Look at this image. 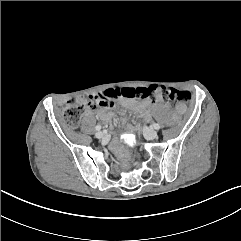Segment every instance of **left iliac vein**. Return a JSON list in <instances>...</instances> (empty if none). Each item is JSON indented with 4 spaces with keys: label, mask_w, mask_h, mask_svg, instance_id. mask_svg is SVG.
<instances>
[{
    "label": "left iliac vein",
    "mask_w": 241,
    "mask_h": 241,
    "mask_svg": "<svg viewBox=\"0 0 241 241\" xmlns=\"http://www.w3.org/2000/svg\"><path fill=\"white\" fill-rule=\"evenodd\" d=\"M143 134L149 140H153V139L157 138V136H158L157 132L154 129L149 128V127L143 128Z\"/></svg>",
    "instance_id": "left-iliac-vein-1"
}]
</instances>
